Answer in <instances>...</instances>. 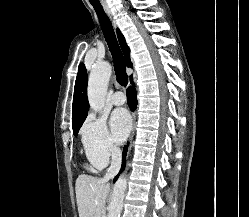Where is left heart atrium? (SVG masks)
Returning <instances> with one entry per match:
<instances>
[{
  "label": "left heart atrium",
  "mask_w": 249,
  "mask_h": 217,
  "mask_svg": "<svg viewBox=\"0 0 249 217\" xmlns=\"http://www.w3.org/2000/svg\"><path fill=\"white\" fill-rule=\"evenodd\" d=\"M113 136L117 142H122L128 135L131 128V119L124 109L115 110L110 119Z\"/></svg>",
  "instance_id": "39dd6f15"
}]
</instances>
